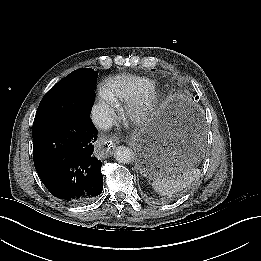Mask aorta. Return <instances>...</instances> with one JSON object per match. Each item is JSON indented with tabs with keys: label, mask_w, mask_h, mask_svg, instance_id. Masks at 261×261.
Listing matches in <instances>:
<instances>
[{
	"label": "aorta",
	"mask_w": 261,
	"mask_h": 261,
	"mask_svg": "<svg viewBox=\"0 0 261 261\" xmlns=\"http://www.w3.org/2000/svg\"><path fill=\"white\" fill-rule=\"evenodd\" d=\"M114 158L119 163H130L133 159V151L126 146H118L114 152Z\"/></svg>",
	"instance_id": "obj_1"
}]
</instances>
